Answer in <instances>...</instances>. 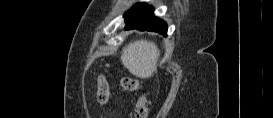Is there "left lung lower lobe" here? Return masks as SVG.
Wrapping results in <instances>:
<instances>
[{"label":"left lung lower lobe","mask_w":273,"mask_h":118,"mask_svg":"<svg viewBox=\"0 0 273 118\" xmlns=\"http://www.w3.org/2000/svg\"><path fill=\"white\" fill-rule=\"evenodd\" d=\"M126 30L129 29H138L140 31H154L157 32L159 34H162L164 36H167V25L166 23L155 17L152 16L151 18L143 21V22H135V23H126L125 26Z\"/></svg>","instance_id":"0a47b994"}]
</instances>
